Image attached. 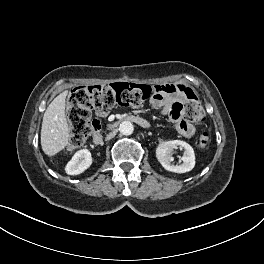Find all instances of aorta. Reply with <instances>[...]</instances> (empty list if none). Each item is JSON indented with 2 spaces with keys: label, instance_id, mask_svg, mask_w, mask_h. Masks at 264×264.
Here are the masks:
<instances>
[{
  "label": "aorta",
  "instance_id": "1",
  "mask_svg": "<svg viewBox=\"0 0 264 264\" xmlns=\"http://www.w3.org/2000/svg\"><path fill=\"white\" fill-rule=\"evenodd\" d=\"M119 131L123 135H131L134 131V126L130 121H124L120 124Z\"/></svg>",
  "mask_w": 264,
  "mask_h": 264
}]
</instances>
